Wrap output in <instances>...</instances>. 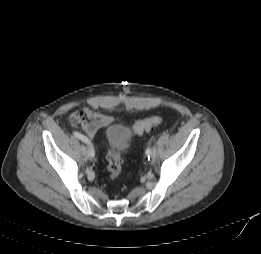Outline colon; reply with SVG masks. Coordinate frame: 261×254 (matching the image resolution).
<instances>
[{
    "instance_id": "5ec220e1",
    "label": "colon",
    "mask_w": 261,
    "mask_h": 254,
    "mask_svg": "<svg viewBox=\"0 0 261 254\" xmlns=\"http://www.w3.org/2000/svg\"><path fill=\"white\" fill-rule=\"evenodd\" d=\"M162 123V118L159 116H151L138 120L133 126V132L135 134H142L148 132ZM107 159V171L111 180L119 178L122 170V156L117 150H109L106 156Z\"/></svg>"
}]
</instances>
